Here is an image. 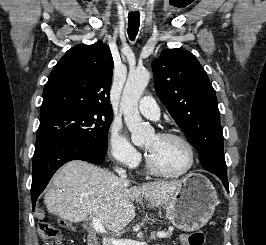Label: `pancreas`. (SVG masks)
Wrapping results in <instances>:
<instances>
[{
	"instance_id": "1",
	"label": "pancreas",
	"mask_w": 266,
	"mask_h": 245,
	"mask_svg": "<svg viewBox=\"0 0 266 245\" xmlns=\"http://www.w3.org/2000/svg\"><path fill=\"white\" fill-rule=\"evenodd\" d=\"M159 233H163V231H159ZM168 233L167 237H163V239H168V237H171L172 231H166Z\"/></svg>"
}]
</instances>
